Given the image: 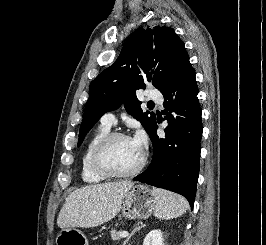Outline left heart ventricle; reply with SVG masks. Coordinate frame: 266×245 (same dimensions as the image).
Segmentation results:
<instances>
[{
	"mask_svg": "<svg viewBox=\"0 0 266 245\" xmlns=\"http://www.w3.org/2000/svg\"><path fill=\"white\" fill-rule=\"evenodd\" d=\"M140 158L138 150L130 139H116L106 154L107 166L116 173H127L135 168Z\"/></svg>",
	"mask_w": 266,
	"mask_h": 245,
	"instance_id": "1",
	"label": "left heart ventricle"
}]
</instances>
